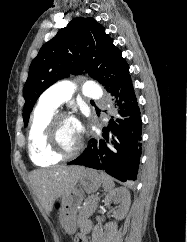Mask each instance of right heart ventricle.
I'll return each instance as SVG.
<instances>
[{"label": "right heart ventricle", "instance_id": "1", "mask_svg": "<svg viewBox=\"0 0 187 242\" xmlns=\"http://www.w3.org/2000/svg\"><path fill=\"white\" fill-rule=\"evenodd\" d=\"M55 113V109L41 102L34 110L28 132V149L30 159L38 166H50L58 163L61 159L51 155L44 144L45 127Z\"/></svg>", "mask_w": 187, "mask_h": 242}]
</instances>
